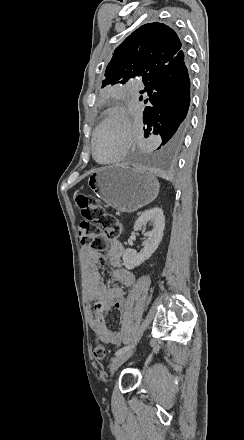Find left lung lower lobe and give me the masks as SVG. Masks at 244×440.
Returning a JSON list of instances; mask_svg holds the SVG:
<instances>
[{
	"instance_id": "1",
	"label": "left lung lower lobe",
	"mask_w": 244,
	"mask_h": 440,
	"mask_svg": "<svg viewBox=\"0 0 244 440\" xmlns=\"http://www.w3.org/2000/svg\"><path fill=\"white\" fill-rule=\"evenodd\" d=\"M140 93L148 106L143 111L144 136L159 134V153L176 151L190 128V80L185 59L179 64L162 68ZM142 100V96H140Z\"/></svg>"
}]
</instances>
